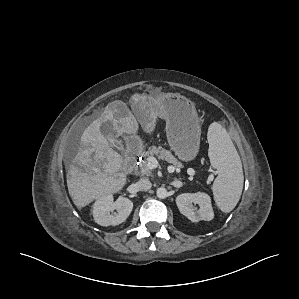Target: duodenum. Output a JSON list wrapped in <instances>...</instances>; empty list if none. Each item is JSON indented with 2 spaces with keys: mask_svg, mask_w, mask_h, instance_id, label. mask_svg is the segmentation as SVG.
I'll return each instance as SVG.
<instances>
[{
  "mask_svg": "<svg viewBox=\"0 0 299 299\" xmlns=\"http://www.w3.org/2000/svg\"><path fill=\"white\" fill-rule=\"evenodd\" d=\"M138 155H139L138 149L134 144L130 143L128 145L126 157L124 161L125 168H129L132 165V163L136 160Z\"/></svg>",
  "mask_w": 299,
  "mask_h": 299,
  "instance_id": "duodenum-1",
  "label": "duodenum"
}]
</instances>
